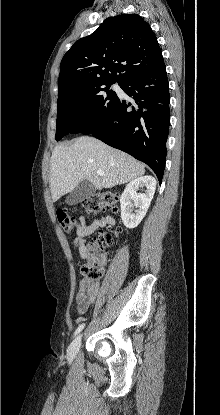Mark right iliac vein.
<instances>
[{
	"label": "right iliac vein",
	"mask_w": 220,
	"mask_h": 415,
	"mask_svg": "<svg viewBox=\"0 0 220 415\" xmlns=\"http://www.w3.org/2000/svg\"><path fill=\"white\" fill-rule=\"evenodd\" d=\"M82 341V334H79L75 337V339L71 342L70 346L67 350V356L69 360H73L76 353L78 352Z\"/></svg>",
	"instance_id": "obj_1"
}]
</instances>
